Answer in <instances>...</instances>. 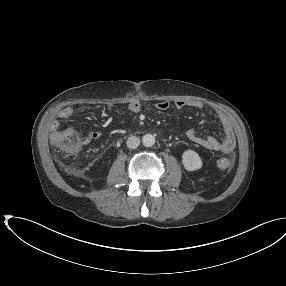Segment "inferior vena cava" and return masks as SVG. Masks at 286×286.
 I'll return each mask as SVG.
<instances>
[{
  "label": "inferior vena cava",
  "instance_id": "obj_1",
  "mask_svg": "<svg viewBox=\"0 0 286 286\" xmlns=\"http://www.w3.org/2000/svg\"><path fill=\"white\" fill-rule=\"evenodd\" d=\"M140 144V140L138 137L136 136H130L128 139H127V146L130 148V149H135L139 146Z\"/></svg>",
  "mask_w": 286,
  "mask_h": 286
}]
</instances>
